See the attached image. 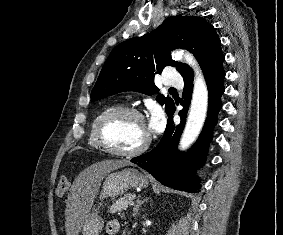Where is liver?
I'll return each instance as SVG.
<instances>
[{
	"label": "liver",
	"instance_id": "1",
	"mask_svg": "<svg viewBox=\"0 0 283 235\" xmlns=\"http://www.w3.org/2000/svg\"><path fill=\"white\" fill-rule=\"evenodd\" d=\"M130 165L126 160H104L83 170L74 180L65 210L67 235H78L94 203L103 178L113 170Z\"/></svg>",
	"mask_w": 283,
	"mask_h": 235
}]
</instances>
